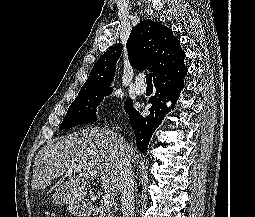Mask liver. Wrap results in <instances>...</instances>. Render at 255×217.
<instances>
[{"instance_id": "obj_1", "label": "liver", "mask_w": 255, "mask_h": 217, "mask_svg": "<svg viewBox=\"0 0 255 217\" xmlns=\"http://www.w3.org/2000/svg\"><path fill=\"white\" fill-rule=\"evenodd\" d=\"M127 146L112 130L87 128L62 137L43 147L35 158L32 189L44 191L55 180L67 174L68 167L76 165L74 176L63 183L53 194L51 200L56 204H71L85 200L91 188L88 171L100 176L101 187L107 193L118 195L121 191L119 171V149ZM129 146V145H128ZM132 149L131 162L137 154Z\"/></svg>"}]
</instances>
